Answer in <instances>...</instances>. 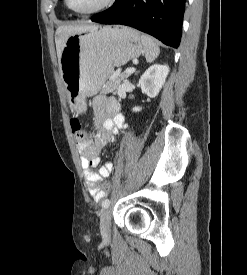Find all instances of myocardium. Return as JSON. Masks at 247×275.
Returning a JSON list of instances; mask_svg holds the SVG:
<instances>
[{
	"label": "myocardium",
	"mask_w": 247,
	"mask_h": 275,
	"mask_svg": "<svg viewBox=\"0 0 247 275\" xmlns=\"http://www.w3.org/2000/svg\"><path fill=\"white\" fill-rule=\"evenodd\" d=\"M115 1L116 0H104L100 5H98L97 7L93 8V9L86 10V11H78V10H75L70 7L68 0H64L66 7L71 12L78 14V15H90V14H95V13L101 12V11L109 8L110 6H112Z\"/></svg>",
	"instance_id": "myocardium-1"
}]
</instances>
